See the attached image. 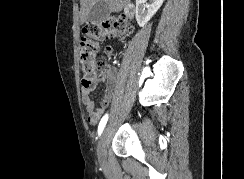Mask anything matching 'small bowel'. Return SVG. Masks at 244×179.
Returning a JSON list of instances; mask_svg holds the SVG:
<instances>
[{
	"mask_svg": "<svg viewBox=\"0 0 244 179\" xmlns=\"http://www.w3.org/2000/svg\"><path fill=\"white\" fill-rule=\"evenodd\" d=\"M118 70L114 67L108 68L104 74L105 91L100 105L97 107L92 99L91 91H82V102L88 112V122L95 125L101 118L105 109L109 106L115 96V86Z\"/></svg>",
	"mask_w": 244,
	"mask_h": 179,
	"instance_id": "small-bowel-1",
	"label": "small bowel"
}]
</instances>
